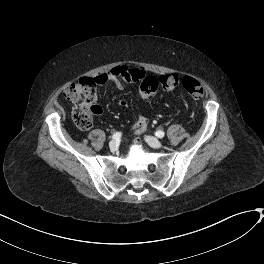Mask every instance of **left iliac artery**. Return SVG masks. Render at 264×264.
<instances>
[{"label":"left iliac artery","instance_id":"44dca946","mask_svg":"<svg viewBox=\"0 0 264 264\" xmlns=\"http://www.w3.org/2000/svg\"><path fill=\"white\" fill-rule=\"evenodd\" d=\"M155 135H156L158 138H162V137H164L165 133H164V131H162V130H158V131L155 132Z\"/></svg>","mask_w":264,"mask_h":264}]
</instances>
